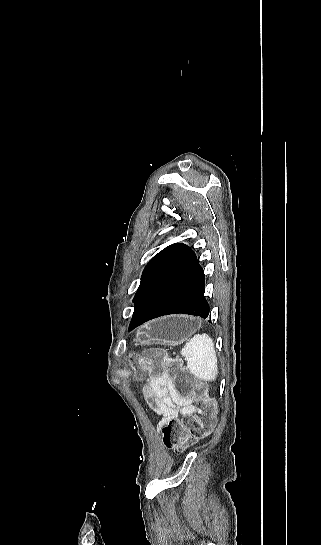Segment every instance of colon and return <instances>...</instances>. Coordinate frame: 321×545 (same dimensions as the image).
<instances>
[{
  "instance_id": "colon-1",
  "label": "colon",
  "mask_w": 321,
  "mask_h": 545,
  "mask_svg": "<svg viewBox=\"0 0 321 545\" xmlns=\"http://www.w3.org/2000/svg\"><path fill=\"white\" fill-rule=\"evenodd\" d=\"M137 376L169 378L172 389L181 397L196 402L195 412L182 420L171 419L161 428L164 445L176 453L184 452L211 434L215 426L216 403L207 394L205 384L189 374L176 359H168L159 352H150L134 359Z\"/></svg>"
}]
</instances>
